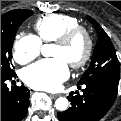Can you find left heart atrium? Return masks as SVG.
Here are the masks:
<instances>
[{
    "label": "left heart atrium",
    "mask_w": 121,
    "mask_h": 121,
    "mask_svg": "<svg viewBox=\"0 0 121 121\" xmlns=\"http://www.w3.org/2000/svg\"><path fill=\"white\" fill-rule=\"evenodd\" d=\"M68 76V63L62 57L41 60L22 72L27 85L44 91L57 90Z\"/></svg>",
    "instance_id": "obj_1"
}]
</instances>
